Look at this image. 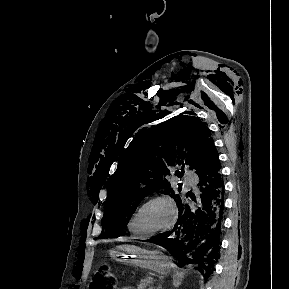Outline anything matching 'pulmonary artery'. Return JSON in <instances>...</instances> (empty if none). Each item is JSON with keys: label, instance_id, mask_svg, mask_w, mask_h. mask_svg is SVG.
<instances>
[{"label": "pulmonary artery", "instance_id": "e3ab8cb5", "mask_svg": "<svg viewBox=\"0 0 289 289\" xmlns=\"http://www.w3.org/2000/svg\"><path fill=\"white\" fill-rule=\"evenodd\" d=\"M186 176H187V177H190L191 175H190L189 172H187V173H186ZM187 182H189V183H193V180H192V179H187Z\"/></svg>", "mask_w": 289, "mask_h": 289}]
</instances>
